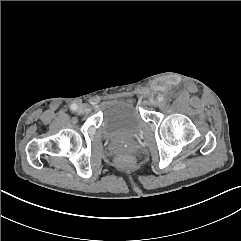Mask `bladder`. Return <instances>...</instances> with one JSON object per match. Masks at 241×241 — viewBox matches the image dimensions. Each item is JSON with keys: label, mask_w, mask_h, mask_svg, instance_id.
Here are the masks:
<instances>
[{"label": "bladder", "mask_w": 241, "mask_h": 241, "mask_svg": "<svg viewBox=\"0 0 241 241\" xmlns=\"http://www.w3.org/2000/svg\"><path fill=\"white\" fill-rule=\"evenodd\" d=\"M100 132L104 139L119 143L135 142L143 133L145 123L134 105L123 99L105 102L101 107Z\"/></svg>", "instance_id": "obj_1"}]
</instances>
